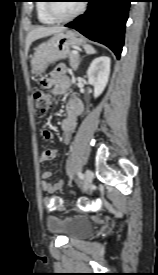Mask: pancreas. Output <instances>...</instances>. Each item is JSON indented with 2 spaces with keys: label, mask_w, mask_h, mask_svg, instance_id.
I'll return each instance as SVG.
<instances>
[{
  "label": "pancreas",
  "mask_w": 158,
  "mask_h": 275,
  "mask_svg": "<svg viewBox=\"0 0 158 275\" xmlns=\"http://www.w3.org/2000/svg\"><path fill=\"white\" fill-rule=\"evenodd\" d=\"M69 63L73 70H76L79 65V55H75L73 53H70L69 55Z\"/></svg>",
  "instance_id": "cf45deb5"
}]
</instances>
